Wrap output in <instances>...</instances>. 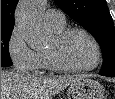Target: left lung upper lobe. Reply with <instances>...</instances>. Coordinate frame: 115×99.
Masks as SVG:
<instances>
[{"label":"left lung upper lobe","instance_id":"5c2ea615","mask_svg":"<svg viewBox=\"0 0 115 99\" xmlns=\"http://www.w3.org/2000/svg\"><path fill=\"white\" fill-rule=\"evenodd\" d=\"M98 41L103 55L100 75L115 76V28L106 0H54Z\"/></svg>","mask_w":115,"mask_h":99}]
</instances>
